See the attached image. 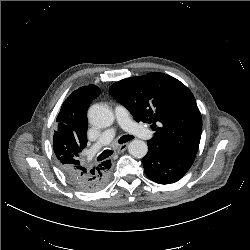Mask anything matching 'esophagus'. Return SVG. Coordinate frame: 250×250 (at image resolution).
Segmentation results:
<instances>
[{
	"mask_svg": "<svg viewBox=\"0 0 250 250\" xmlns=\"http://www.w3.org/2000/svg\"><path fill=\"white\" fill-rule=\"evenodd\" d=\"M128 147V144L127 143H124L122 145H119L118 148H117V152L118 153H121V152H124Z\"/></svg>",
	"mask_w": 250,
	"mask_h": 250,
	"instance_id": "esophagus-1",
	"label": "esophagus"
}]
</instances>
